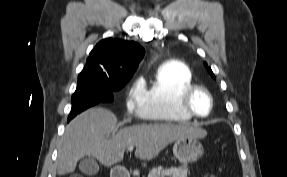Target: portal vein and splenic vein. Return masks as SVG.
Returning a JSON list of instances; mask_svg holds the SVG:
<instances>
[{
    "label": "portal vein and splenic vein",
    "instance_id": "portal-vein-and-splenic-vein-1",
    "mask_svg": "<svg viewBox=\"0 0 287 177\" xmlns=\"http://www.w3.org/2000/svg\"><path fill=\"white\" fill-rule=\"evenodd\" d=\"M133 149H134V146H129V147H128V150H129V151H132Z\"/></svg>",
    "mask_w": 287,
    "mask_h": 177
}]
</instances>
